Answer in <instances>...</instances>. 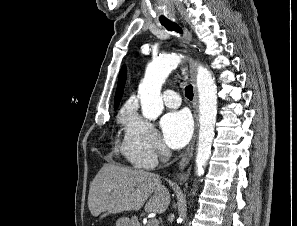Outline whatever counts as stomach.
Wrapping results in <instances>:
<instances>
[{"label": "stomach", "instance_id": "1", "mask_svg": "<svg viewBox=\"0 0 297 226\" xmlns=\"http://www.w3.org/2000/svg\"><path fill=\"white\" fill-rule=\"evenodd\" d=\"M116 226H138V223L135 218L122 217L118 219Z\"/></svg>", "mask_w": 297, "mask_h": 226}]
</instances>
